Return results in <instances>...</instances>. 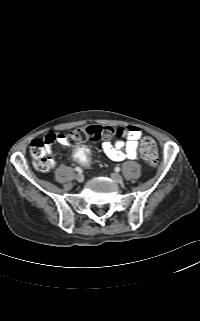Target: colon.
Masks as SVG:
<instances>
[{
	"mask_svg": "<svg viewBox=\"0 0 200 321\" xmlns=\"http://www.w3.org/2000/svg\"><path fill=\"white\" fill-rule=\"evenodd\" d=\"M113 135L118 136V131L111 127L100 125H87L74 129L67 135L71 144L75 145L72 148L71 162L74 165H87L90 161L89 148L86 145H76L86 140H99L109 138ZM53 136L45 137L42 140H33L30 145V153L34 159L35 167L42 172L49 171L52 168V163L47 157V146L53 140ZM141 158L147 165L153 167L157 164L158 151L156 143L151 138H144L140 144Z\"/></svg>",
	"mask_w": 200,
	"mask_h": 321,
	"instance_id": "5ec220e1",
	"label": "colon"
}]
</instances>
